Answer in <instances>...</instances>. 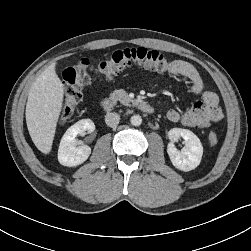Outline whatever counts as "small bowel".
<instances>
[{
	"label": "small bowel",
	"instance_id": "small-bowel-1",
	"mask_svg": "<svg viewBox=\"0 0 251 251\" xmlns=\"http://www.w3.org/2000/svg\"><path fill=\"white\" fill-rule=\"evenodd\" d=\"M172 75H180L191 82V92L194 95L201 96V100L193 103L184 112L176 109L167 111V118L171 122H181L187 127L208 128L211 123L220 120L223 117L219 107L218 96L204 89V82L197 69L189 62L175 60L168 71Z\"/></svg>",
	"mask_w": 251,
	"mask_h": 251
}]
</instances>
